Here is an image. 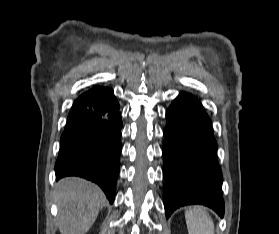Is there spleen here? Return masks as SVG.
<instances>
[{"label": "spleen", "instance_id": "3e777b00", "mask_svg": "<svg viewBox=\"0 0 279 234\" xmlns=\"http://www.w3.org/2000/svg\"><path fill=\"white\" fill-rule=\"evenodd\" d=\"M189 234H214V223L204 207L194 206L185 212Z\"/></svg>", "mask_w": 279, "mask_h": 234}]
</instances>
